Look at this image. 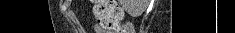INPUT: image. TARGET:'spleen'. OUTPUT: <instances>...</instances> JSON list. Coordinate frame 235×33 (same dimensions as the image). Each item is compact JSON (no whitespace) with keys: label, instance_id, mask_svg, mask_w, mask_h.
Returning a JSON list of instances; mask_svg holds the SVG:
<instances>
[{"label":"spleen","instance_id":"1","mask_svg":"<svg viewBox=\"0 0 235 33\" xmlns=\"http://www.w3.org/2000/svg\"><path fill=\"white\" fill-rule=\"evenodd\" d=\"M143 9H144V6L142 8H140V10L134 11L133 13H140Z\"/></svg>","mask_w":235,"mask_h":33}]
</instances>
